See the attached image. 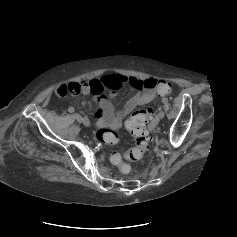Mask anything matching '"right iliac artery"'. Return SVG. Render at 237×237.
<instances>
[{"mask_svg": "<svg viewBox=\"0 0 237 237\" xmlns=\"http://www.w3.org/2000/svg\"><path fill=\"white\" fill-rule=\"evenodd\" d=\"M68 111H69L70 113H73V112H74V108H73V107H69V108H68Z\"/></svg>", "mask_w": 237, "mask_h": 237, "instance_id": "obj_1", "label": "right iliac artery"}]
</instances>
